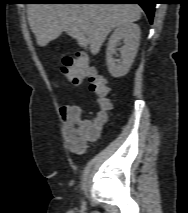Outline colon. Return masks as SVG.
I'll list each match as a JSON object with an SVG mask.
<instances>
[{"instance_id": "1", "label": "colon", "mask_w": 188, "mask_h": 213, "mask_svg": "<svg viewBox=\"0 0 188 213\" xmlns=\"http://www.w3.org/2000/svg\"><path fill=\"white\" fill-rule=\"evenodd\" d=\"M59 70L62 76L72 85H79L85 76L89 77L90 89L98 97L102 110H111L112 105L107 99L109 86L105 78L90 63L85 53H78L76 57H64ZM100 119L103 120L104 116H101ZM70 136L74 140L77 139L74 132H71ZM76 144L79 143L76 142Z\"/></svg>"}]
</instances>
